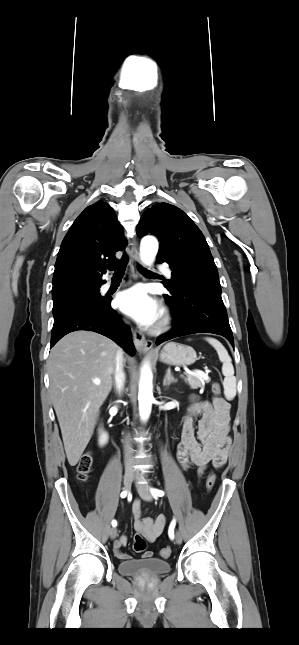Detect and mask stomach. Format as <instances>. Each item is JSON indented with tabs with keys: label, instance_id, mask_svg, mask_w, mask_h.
Listing matches in <instances>:
<instances>
[{
	"label": "stomach",
	"instance_id": "0dacf381",
	"mask_svg": "<svg viewBox=\"0 0 299 645\" xmlns=\"http://www.w3.org/2000/svg\"><path fill=\"white\" fill-rule=\"evenodd\" d=\"M196 358V352L192 347L175 342L167 343L159 355L161 362L173 366L191 365Z\"/></svg>",
	"mask_w": 299,
	"mask_h": 645
}]
</instances>
